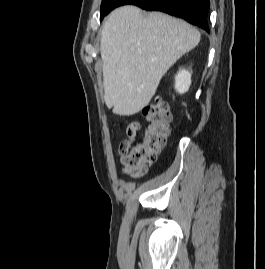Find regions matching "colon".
Returning <instances> with one entry per match:
<instances>
[{"mask_svg":"<svg viewBox=\"0 0 265 269\" xmlns=\"http://www.w3.org/2000/svg\"><path fill=\"white\" fill-rule=\"evenodd\" d=\"M143 115L147 127L140 140H136L140 128L138 122H132L125 129L126 138L120 143V153L125 173L133 178L142 177L147 166L156 161L157 155L170 131L171 112L168 104L160 98L148 104Z\"/></svg>","mask_w":265,"mask_h":269,"instance_id":"1","label":"colon"}]
</instances>
